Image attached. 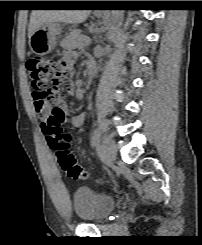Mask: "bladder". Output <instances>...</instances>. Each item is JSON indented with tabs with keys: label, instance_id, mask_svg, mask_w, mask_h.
<instances>
[{
	"label": "bladder",
	"instance_id": "1",
	"mask_svg": "<svg viewBox=\"0 0 202 245\" xmlns=\"http://www.w3.org/2000/svg\"><path fill=\"white\" fill-rule=\"evenodd\" d=\"M117 206L116 200L96 190L81 187L73 196V207L77 216L89 223H101Z\"/></svg>",
	"mask_w": 202,
	"mask_h": 245
}]
</instances>
